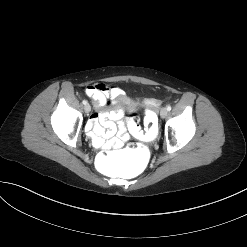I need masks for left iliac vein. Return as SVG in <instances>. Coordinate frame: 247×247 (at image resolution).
I'll return each instance as SVG.
<instances>
[{
  "mask_svg": "<svg viewBox=\"0 0 247 247\" xmlns=\"http://www.w3.org/2000/svg\"><path fill=\"white\" fill-rule=\"evenodd\" d=\"M168 115V110L166 108H162L160 111V116L165 118Z\"/></svg>",
  "mask_w": 247,
  "mask_h": 247,
  "instance_id": "1",
  "label": "left iliac vein"
}]
</instances>
